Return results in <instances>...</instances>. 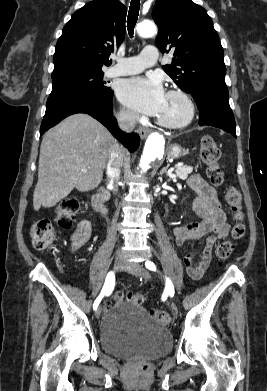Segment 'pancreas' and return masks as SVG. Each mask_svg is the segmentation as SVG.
<instances>
[{
  "label": "pancreas",
  "mask_w": 267,
  "mask_h": 391,
  "mask_svg": "<svg viewBox=\"0 0 267 391\" xmlns=\"http://www.w3.org/2000/svg\"><path fill=\"white\" fill-rule=\"evenodd\" d=\"M193 171L191 166H176L175 174L178 178L185 180Z\"/></svg>",
  "instance_id": "1"
}]
</instances>
